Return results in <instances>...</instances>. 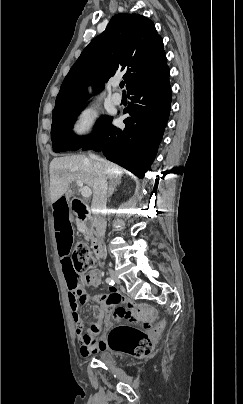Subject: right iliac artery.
Listing matches in <instances>:
<instances>
[{
    "mask_svg": "<svg viewBox=\"0 0 243 404\" xmlns=\"http://www.w3.org/2000/svg\"><path fill=\"white\" fill-rule=\"evenodd\" d=\"M106 283H108L111 286H113L115 284L114 280L112 278H106Z\"/></svg>",
    "mask_w": 243,
    "mask_h": 404,
    "instance_id": "obj_1",
    "label": "right iliac artery"
}]
</instances>
